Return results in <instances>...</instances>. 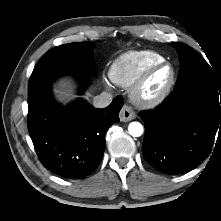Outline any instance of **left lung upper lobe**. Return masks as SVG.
Wrapping results in <instances>:
<instances>
[{"label":"left lung upper lobe","mask_w":221,"mask_h":221,"mask_svg":"<svg viewBox=\"0 0 221 221\" xmlns=\"http://www.w3.org/2000/svg\"><path fill=\"white\" fill-rule=\"evenodd\" d=\"M172 46L178 52L180 61V71L174 89L200 86L221 96V76L215 74L208 63L189 46L179 42H173Z\"/></svg>","instance_id":"5c2ea615"}]
</instances>
